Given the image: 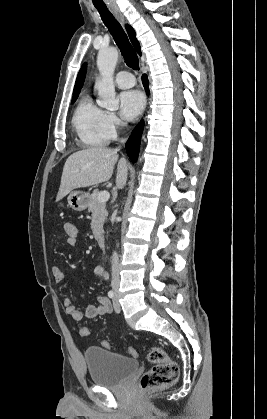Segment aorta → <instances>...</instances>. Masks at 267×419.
I'll return each mask as SVG.
<instances>
[{
	"instance_id": "762f6f07",
	"label": "aorta",
	"mask_w": 267,
	"mask_h": 419,
	"mask_svg": "<svg viewBox=\"0 0 267 419\" xmlns=\"http://www.w3.org/2000/svg\"><path fill=\"white\" fill-rule=\"evenodd\" d=\"M118 60V51L114 47L101 49L97 57V67L101 79L95 87L98 90V105L108 110H117L119 100L116 98L113 75Z\"/></svg>"
}]
</instances>
